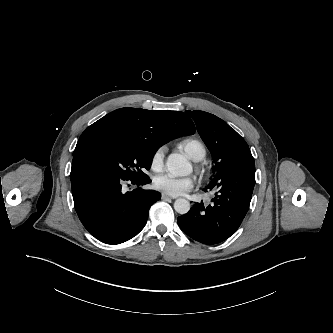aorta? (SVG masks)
<instances>
[{"label": "aorta", "mask_w": 333, "mask_h": 333, "mask_svg": "<svg viewBox=\"0 0 333 333\" xmlns=\"http://www.w3.org/2000/svg\"><path fill=\"white\" fill-rule=\"evenodd\" d=\"M166 167L170 174L176 177L187 176L191 172V165L184 156L178 153H171L166 161ZM174 209L179 214H186L190 210L188 200L179 198L174 202Z\"/></svg>", "instance_id": "762f6f07"}]
</instances>
